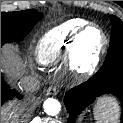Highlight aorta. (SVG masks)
I'll use <instances>...</instances> for the list:
<instances>
[{
	"mask_svg": "<svg viewBox=\"0 0 123 123\" xmlns=\"http://www.w3.org/2000/svg\"><path fill=\"white\" fill-rule=\"evenodd\" d=\"M43 107H44V112L50 116L57 115L61 110V104L55 98L46 99L43 103Z\"/></svg>",
	"mask_w": 123,
	"mask_h": 123,
	"instance_id": "aorta-1",
	"label": "aorta"
}]
</instances>
